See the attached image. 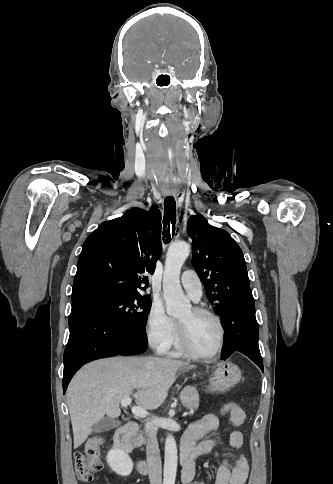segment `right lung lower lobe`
I'll list each match as a JSON object with an SVG mask.
<instances>
[{"instance_id":"obj_1","label":"right lung lower lobe","mask_w":333,"mask_h":484,"mask_svg":"<svg viewBox=\"0 0 333 484\" xmlns=\"http://www.w3.org/2000/svg\"><path fill=\"white\" fill-rule=\"evenodd\" d=\"M70 336L64 352L63 391L85 363L113 355L143 353L147 336L132 332L96 301L86 297L72 300Z\"/></svg>"}]
</instances>
